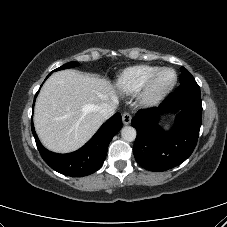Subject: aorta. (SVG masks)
<instances>
[{
	"label": "aorta",
	"mask_w": 227,
	"mask_h": 227,
	"mask_svg": "<svg viewBox=\"0 0 227 227\" xmlns=\"http://www.w3.org/2000/svg\"><path fill=\"white\" fill-rule=\"evenodd\" d=\"M136 134L137 133H136L135 128H133L131 126H125L121 130V136H122L123 140H125L127 142L134 141L136 138Z\"/></svg>",
	"instance_id": "762f6f07"
}]
</instances>
